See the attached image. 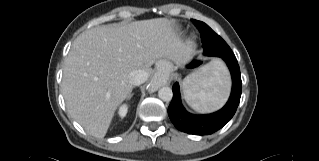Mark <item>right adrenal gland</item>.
Instances as JSON below:
<instances>
[{
    "label": "right adrenal gland",
    "instance_id": "2a0ac1e0",
    "mask_svg": "<svg viewBox=\"0 0 319 161\" xmlns=\"http://www.w3.org/2000/svg\"><path fill=\"white\" fill-rule=\"evenodd\" d=\"M132 95H133V94H132V90H131L130 93H129V95H128V97H127V99L130 100V98L132 97Z\"/></svg>",
    "mask_w": 319,
    "mask_h": 161
}]
</instances>
